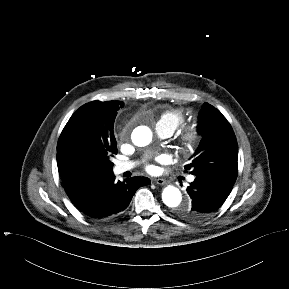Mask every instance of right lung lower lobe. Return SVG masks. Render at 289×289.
<instances>
[{
  "mask_svg": "<svg viewBox=\"0 0 289 289\" xmlns=\"http://www.w3.org/2000/svg\"><path fill=\"white\" fill-rule=\"evenodd\" d=\"M146 177H132L115 182L114 176L94 181L85 190L82 199L74 205L90 218L102 220L124 211L136 190L148 185Z\"/></svg>",
  "mask_w": 289,
  "mask_h": 289,
  "instance_id": "obj_1",
  "label": "right lung lower lobe"
}]
</instances>
